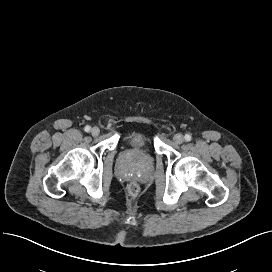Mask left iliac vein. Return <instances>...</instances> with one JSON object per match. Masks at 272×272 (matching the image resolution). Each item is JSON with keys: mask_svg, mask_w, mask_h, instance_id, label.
<instances>
[{"mask_svg": "<svg viewBox=\"0 0 272 272\" xmlns=\"http://www.w3.org/2000/svg\"><path fill=\"white\" fill-rule=\"evenodd\" d=\"M173 140L176 144H181L184 141V137L182 134H176L174 135Z\"/></svg>", "mask_w": 272, "mask_h": 272, "instance_id": "1", "label": "left iliac vein"}]
</instances>
